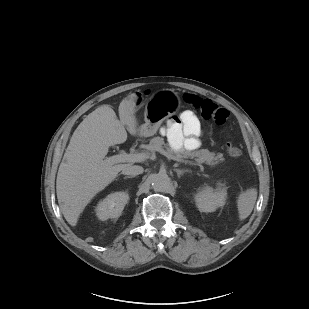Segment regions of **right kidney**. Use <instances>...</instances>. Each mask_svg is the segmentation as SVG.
<instances>
[{
	"label": "right kidney",
	"mask_w": 309,
	"mask_h": 309,
	"mask_svg": "<svg viewBox=\"0 0 309 309\" xmlns=\"http://www.w3.org/2000/svg\"><path fill=\"white\" fill-rule=\"evenodd\" d=\"M129 200V196L125 192H115L109 194L103 201L99 202L96 207L97 217L104 221L109 218H118L125 205Z\"/></svg>",
	"instance_id": "obj_1"
}]
</instances>
